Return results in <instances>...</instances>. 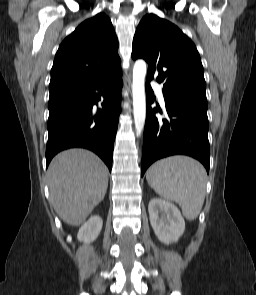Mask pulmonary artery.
Instances as JSON below:
<instances>
[{
    "mask_svg": "<svg viewBox=\"0 0 256 295\" xmlns=\"http://www.w3.org/2000/svg\"><path fill=\"white\" fill-rule=\"evenodd\" d=\"M152 86H153L154 90L156 91L157 96H158L160 102L162 104H164L165 102H164V95H163V91H162V86L159 85V84H157L154 81L152 82Z\"/></svg>",
    "mask_w": 256,
    "mask_h": 295,
    "instance_id": "pulmonary-artery-1",
    "label": "pulmonary artery"
}]
</instances>
